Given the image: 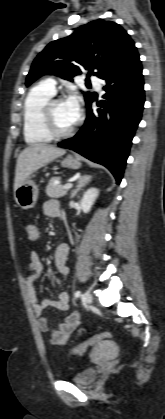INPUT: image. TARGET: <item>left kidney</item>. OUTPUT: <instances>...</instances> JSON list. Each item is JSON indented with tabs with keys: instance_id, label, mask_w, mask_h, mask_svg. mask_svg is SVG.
I'll return each mask as SVG.
<instances>
[{
	"instance_id": "left-kidney-1",
	"label": "left kidney",
	"mask_w": 165,
	"mask_h": 419,
	"mask_svg": "<svg viewBox=\"0 0 165 419\" xmlns=\"http://www.w3.org/2000/svg\"><path fill=\"white\" fill-rule=\"evenodd\" d=\"M99 190L96 188H89L84 192L83 197L80 201L81 209L84 213H88L91 210L96 198L98 197Z\"/></svg>"
}]
</instances>
